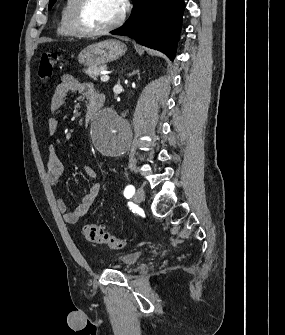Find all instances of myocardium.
Returning <instances> with one entry per match:
<instances>
[{
	"label": "myocardium",
	"mask_w": 285,
	"mask_h": 335,
	"mask_svg": "<svg viewBox=\"0 0 285 335\" xmlns=\"http://www.w3.org/2000/svg\"><path fill=\"white\" fill-rule=\"evenodd\" d=\"M91 1H76L72 12V24L75 31L85 37H95L106 34L116 29L124 20L125 8L128 1H119L118 14L116 18L107 26L100 29H93L89 27L84 21V12Z\"/></svg>",
	"instance_id": "f54148a6"
}]
</instances>
